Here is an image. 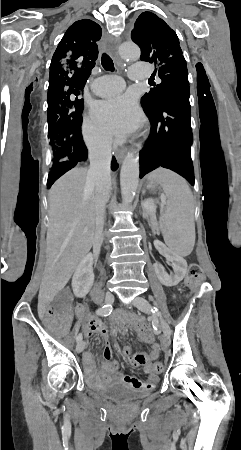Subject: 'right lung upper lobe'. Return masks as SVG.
Instances as JSON below:
<instances>
[{
    "label": "right lung upper lobe",
    "mask_w": 241,
    "mask_h": 450,
    "mask_svg": "<svg viewBox=\"0 0 241 450\" xmlns=\"http://www.w3.org/2000/svg\"><path fill=\"white\" fill-rule=\"evenodd\" d=\"M101 34V27L88 19L68 28L51 60L48 98L67 89H83L100 53Z\"/></svg>",
    "instance_id": "obj_1"
}]
</instances>
